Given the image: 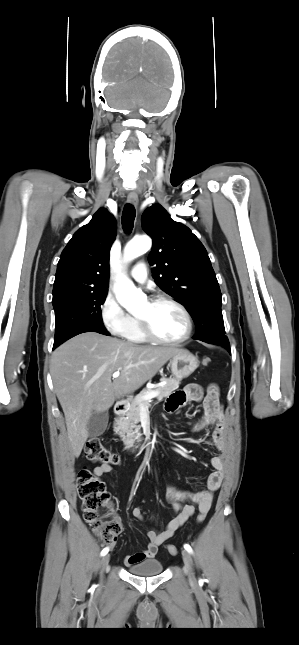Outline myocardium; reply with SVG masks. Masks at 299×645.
<instances>
[{"label": "myocardium", "mask_w": 299, "mask_h": 645, "mask_svg": "<svg viewBox=\"0 0 299 645\" xmlns=\"http://www.w3.org/2000/svg\"><path fill=\"white\" fill-rule=\"evenodd\" d=\"M149 302L152 305L158 304V303H168V304H171L174 307H176L182 313V315H183V317L185 319L186 329H185V332L183 333V335L180 336L179 338H176V339H164V338H161V337L157 336L153 332V330H152V328L150 326V323H149V321H148V319L146 317L137 316L136 318H137V321L139 323L141 332H142V334L145 336V338L147 340H149L151 342H154V343H158V344H164V345H178V344H181V343L185 342L186 340H188L190 338V336H191V334L193 332V320H192L190 312L187 310V308L182 303H180L179 301H177L176 299H174L173 297L168 296V295L154 296L149 300Z\"/></svg>", "instance_id": "1"}]
</instances>
